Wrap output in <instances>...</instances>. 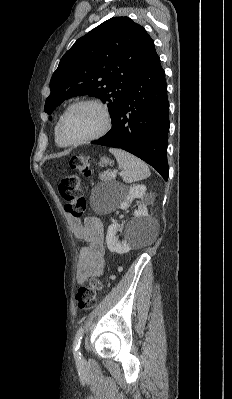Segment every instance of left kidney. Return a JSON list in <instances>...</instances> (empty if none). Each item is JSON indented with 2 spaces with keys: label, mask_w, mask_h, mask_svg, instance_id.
<instances>
[{
  "label": "left kidney",
  "mask_w": 232,
  "mask_h": 399,
  "mask_svg": "<svg viewBox=\"0 0 232 399\" xmlns=\"http://www.w3.org/2000/svg\"><path fill=\"white\" fill-rule=\"evenodd\" d=\"M146 186L138 184V186H130L128 190H124L125 198L120 203L121 209H127L129 203L135 198L142 200L138 209H135L132 221H129L126 225L124 239L119 241L116 233L119 229L118 223H111L107 229L106 243L110 251H117V253H127L132 249L133 245H138L145 241L150 233V229H153V223H151L148 217V209L144 201V194L146 192Z\"/></svg>",
  "instance_id": "1"
}]
</instances>
